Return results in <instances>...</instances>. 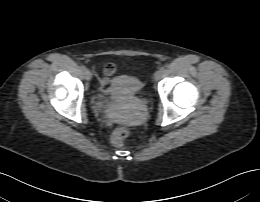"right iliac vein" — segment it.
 Listing matches in <instances>:
<instances>
[{
	"label": "right iliac vein",
	"instance_id": "63e3f726",
	"mask_svg": "<svg viewBox=\"0 0 260 202\" xmlns=\"http://www.w3.org/2000/svg\"><path fill=\"white\" fill-rule=\"evenodd\" d=\"M84 77H85V79L86 80H91V78H92V73H91V71L90 70H88V69H86L85 71H84Z\"/></svg>",
	"mask_w": 260,
	"mask_h": 202
}]
</instances>
